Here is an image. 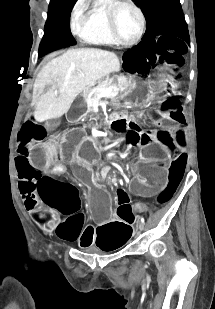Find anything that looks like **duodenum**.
<instances>
[{
    "label": "duodenum",
    "mask_w": 215,
    "mask_h": 309,
    "mask_svg": "<svg viewBox=\"0 0 215 309\" xmlns=\"http://www.w3.org/2000/svg\"><path fill=\"white\" fill-rule=\"evenodd\" d=\"M129 119L122 114H113L108 120V126L111 130H121L129 124Z\"/></svg>",
    "instance_id": "1"
}]
</instances>
